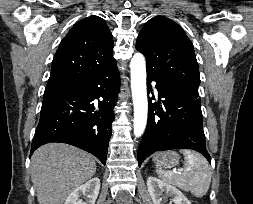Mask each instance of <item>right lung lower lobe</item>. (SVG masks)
<instances>
[{"mask_svg":"<svg viewBox=\"0 0 253 204\" xmlns=\"http://www.w3.org/2000/svg\"><path fill=\"white\" fill-rule=\"evenodd\" d=\"M119 80L115 65L44 93L30 155L41 145L62 142L92 153L105 165Z\"/></svg>","mask_w":253,"mask_h":204,"instance_id":"98d812e1","label":"right lung lower lobe"}]
</instances>
